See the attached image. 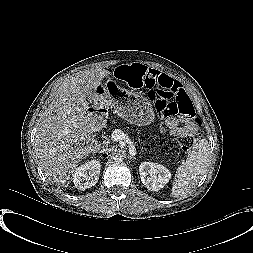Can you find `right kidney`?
<instances>
[{"mask_svg":"<svg viewBox=\"0 0 253 253\" xmlns=\"http://www.w3.org/2000/svg\"><path fill=\"white\" fill-rule=\"evenodd\" d=\"M100 162L97 160H91L72 172V179L75 187L85 190L94 186L99 178L100 174Z\"/></svg>","mask_w":253,"mask_h":253,"instance_id":"right-kidney-1","label":"right kidney"}]
</instances>
